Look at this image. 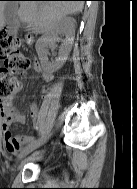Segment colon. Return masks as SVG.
<instances>
[{
    "instance_id": "5ec220e1",
    "label": "colon",
    "mask_w": 137,
    "mask_h": 189,
    "mask_svg": "<svg viewBox=\"0 0 137 189\" xmlns=\"http://www.w3.org/2000/svg\"><path fill=\"white\" fill-rule=\"evenodd\" d=\"M0 103L9 102L10 98L21 88L23 76L35 62L28 58L23 50L20 38L0 31Z\"/></svg>"
}]
</instances>
